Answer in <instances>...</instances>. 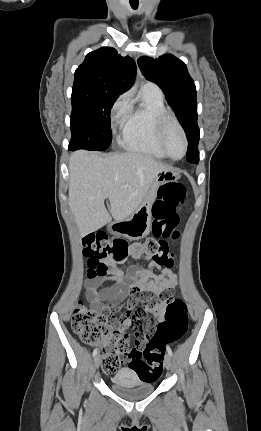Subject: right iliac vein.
<instances>
[{
  "label": "right iliac vein",
  "mask_w": 261,
  "mask_h": 431,
  "mask_svg": "<svg viewBox=\"0 0 261 431\" xmlns=\"http://www.w3.org/2000/svg\"><path fill=\"white\" fill-rule=\"evenodd\" d=\"M101 363L100 355H96L94 359V367L95 369H98Z\"/></svg>",
  "instance_id": "63e3f726"
}]
</instances>
